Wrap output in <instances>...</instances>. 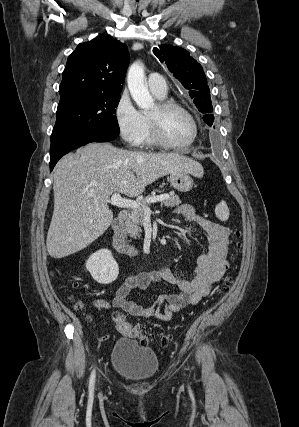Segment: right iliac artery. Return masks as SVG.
Instances as JSON below:
<instances>
[{
  "label": "right iliac artery",
  "instance_id": "right-iliac-artery-1",
  "mask_svg": "<svg viewBox=\"0 0 299 427\" xmlns=\"http://www.w3.org/2000/svg\"><path fill=\"white\" fill-rule=\"evenodd\" d=\"M94 383H95V370H93L91 377H90V381H89V389L90 390H93Z\"/></svg>",
  "mask_w": 299,
  "mask_h": 427
}]
</instances>
